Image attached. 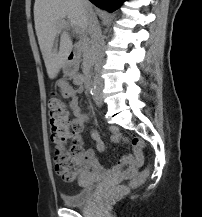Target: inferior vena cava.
Here are the masks:
<instances>
[{
  "label": "inferior vena cava",
  "instance_id": "inferior-vena-cava-1",
  "mask_svg": "<svg viewBox=\"0 0 202 217\" xmlns=\"http://www.w3.org/2000/svg\"><path fill=\"white\" fill-rule=\"evenodd\" d=\"M85 7L87 13V32L90 35L91 45L95 54V84L100 86L103 81L101 78V69L104 61V40L102 36L101 27L98 19L95 16L88 0H80Z\"/></svg>",
  "mask_w": 202,
  "mask_h": 217
}]
</instances>
